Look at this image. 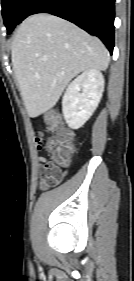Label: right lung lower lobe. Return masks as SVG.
Listing matches in <instances>:
<instances>
[{"instance_id": "right-lung-lower-lobe-1", "label": "right lung lower lobe", "mask_w": 134, "mask_h": 281, "mask_svg": "<svg viewBox=\"0 0 134 281\" xmlns=\"http://www.w3.org/2000/svg\"><path fill=\"white\" fill-rule=\"evenodd\" d=\"M36 13L53 14L76 24L99 37L112 54L115 0H31L22 19Z\"/></svg>"}]
</instances>
